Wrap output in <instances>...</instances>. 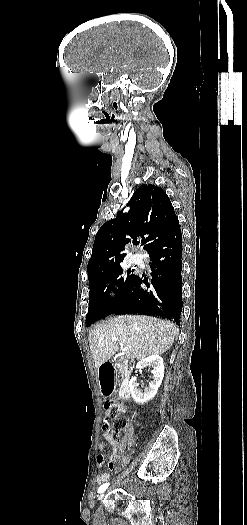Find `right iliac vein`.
<instances>
[{"mask_svg": "<svg viewBox=\"0 0 247 525\" xmlns=\"http://www.w3.org/2000/svg\"><path fill=\"white\" fill-rule=\"evenodd\" d=\"M104 495H105L104 493L100 494V495L98 496V498H97V501L101 500V499L104 497Z\"/></svg>", "mask_w": 247, "mask_h": 525, "instance_id": "obj_1", "label": "right iliac vein"}]
</instances>
